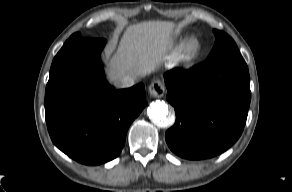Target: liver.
<instances>
[{"label": "liver", "mask_w": 292, "mask_h": 192, "mask_svg": "<svg viewBox=\"0 0 292 192\" xmlns=\"http://www.w3.org/2000/svg\"><path fill=\"white\" fill-rule=\"evenodd\" d=\"M175 24L168 21H144L126 28L116 53L109 61L111 80L130 75L138 78L155 71L172 45Z\"/></svg>", "instance_id": "1"}]
</instances>
